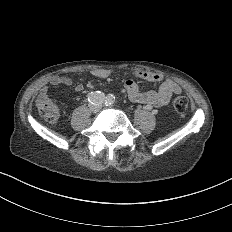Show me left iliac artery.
I'll use <instances>...</instances> for the list:
<instances>
[{"mask_svg": "<svg viewBox=\"0 0 232 232\" xmlns=\"http://www.w3.org/2000/svg\"><path fill=\"white\" fill-rule=\"evenodd\" d=\"M105 104L106 106H113L115 104V96L113 94H109L105 98Z\"/></svg>", "mask_w": 232, "mask_h": 232, "instance_id": "1", "label": "left iliac artery"}]
</instances>
